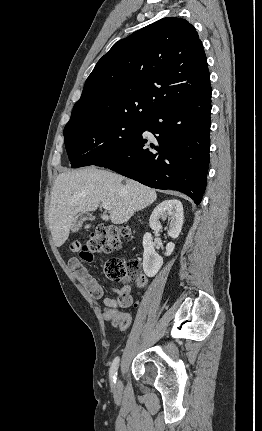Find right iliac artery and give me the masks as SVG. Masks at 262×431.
<instances>
[{
    "label": "right iliac artery",
    "mask_w": 262,
    "mask_h": 431,
    "mask_svg": "<svg viewBox=\"0 0 262 431\" xmlns=\"http://www.w3.org/2000/svg\"><path fill=\"white\" fill-rule=\"evenodd\" d=\"M118 365H119V357H116L113 360L111 368H110L111 383H116Z\"/></svg>",
    "instance_id": "obj_1"
}]
</instances>
